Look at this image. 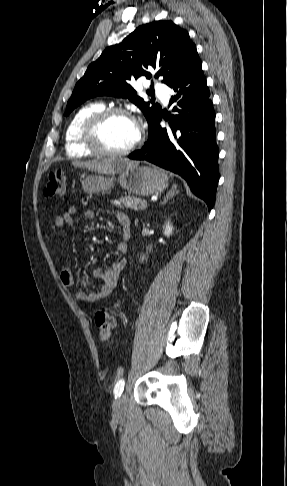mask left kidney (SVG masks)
Listing matches in <instances>:
<instances>
[{
    "label": "left kidney",
    "mask_w": 287,
    "mask_h": 486,
    "mask_svg": "<svg viewBox=\"0 0 287 486\" xmlns=\"http://www.w3.org/2000/svg\"><path fill=\"white\" fill-rule=\"evenodd\" d=\"M173 230H174V228H173L172 223H171L170 221H167V222L165 223V225L163 226V233H164V235H165L166 237H170V236L173 234ZM144 258H145V257H144V255H143V257H142L141 261H143V260H144Z\"/></svg>",
    "instance_id": "left-kidney-1"
}]
</instances>
